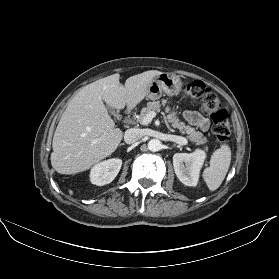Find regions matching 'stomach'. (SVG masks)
Instances as JSON below:
<instances>
[{"mask_svg": "<svg viewBox=\"0 0 279 279\" xmlns=\"http://www.w3.org/2000/svg\"><path fill=\"white\" fill-rule=\"evenodd\" d=\"M182 90L179 76L170 73H161L151 83L147 99L158 100L162 95L176 96Z\"/></svg>", "mask_w": 279, "mask_h": 279, "instance_id": "0dacf381", "label": "stomach"}]
</instances>
